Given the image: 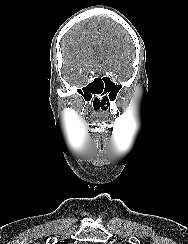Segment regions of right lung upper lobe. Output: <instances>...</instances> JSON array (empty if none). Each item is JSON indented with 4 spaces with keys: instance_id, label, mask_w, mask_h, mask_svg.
Returning <instances> with one entry per match:
<instances>
[{
    "instance_id": "obj_1",
    "label": "right lung upper lobe",
    "mask_w": 188,
    "mask_h": 244,
    "mask_svg": "<svg viewBox=\"0 0 188 244\" xmlns=\"http://www.w3.org/2000/svg\"><path fill=\"white\" fill-rule=\"evenodd\" d=\"M57 244H68V243L58 242Z\"/></svg>"
}]
</instances>
